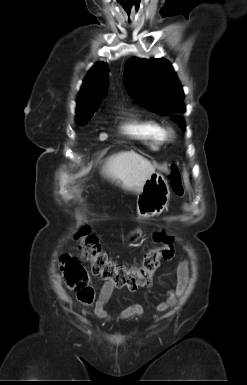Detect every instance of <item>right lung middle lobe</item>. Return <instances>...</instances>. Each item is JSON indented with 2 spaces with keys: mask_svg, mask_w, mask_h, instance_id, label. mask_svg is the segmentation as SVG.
Here are the masks:
<instances>
[{
  "mask_svg": "<svg viewBox=\"0 0 247 385\" xmlns=\"http://www.w3.org/2000/svg\"><path fill=\"white\" fill-rule=\"evenodd\" d=\"M94 115V112L85 114V115H77V122L80 124H85L88 120L91 119V117Z\"/></svg>",
  "mask_w": 247,
  "mask_h": 385,
  "instance_id": "dd1d6c3e",
  "label": "right lung middle lobe"
}]
</instances>
